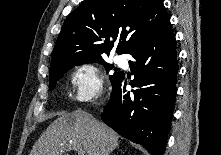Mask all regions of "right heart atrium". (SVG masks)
Returning a JSON list of instances; mask_svg holds the SVG:
<instances>
[{
  "label": "right heart atrium",
  "instance_id": "d8ad5b80",
  "mask_svg": "<svg viewBox=\"0 0 221 155\" xmlns=\"http://www.w3.org/2000/svg\"><path fill=\"white\" fill-rule=\"evenodd\" d=\"M71 83L79 103H92L105 95L104 77L94 64L76 66L71 73Z\"/></svg>",
  "mask_w": 221,
  "mask_h": 155
}]
</instances>
